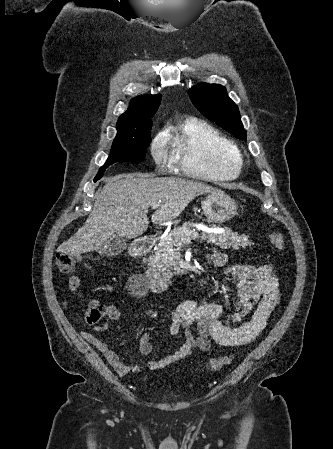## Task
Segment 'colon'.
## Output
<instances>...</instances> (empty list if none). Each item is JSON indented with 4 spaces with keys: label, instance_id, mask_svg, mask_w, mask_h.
<instances>
[{
    "label": "colon",
    "instance_id": "1",
    "mask_svg": "<svg viewBox=\"0 0 333 449\" xmlns=\"http://www.w3.org/2000/svg\"><path fill=\"white\" fill-rule=\"evenodd\" d=\"M269 239L271 243L278 249L282 250L285 247V241L282 235H280L277 232L271 231L268 234ZM81 259V256L78 254L65 252V251H59L55 254L54 262L57 268L63 272V273H69L73 271L79 261ZM110 306L102 305L99 303H95L91 305L87 312H86V321L90 325L98 324L101 320H103L109 312ZM234 355L233 354H227L223 355L217 358H213L208 362V368L211 371H217L221 369L223 366L228 365Z\"/></svg>",
    "mask_w": 333,
    "mask_h": 449
}]
</instances>
